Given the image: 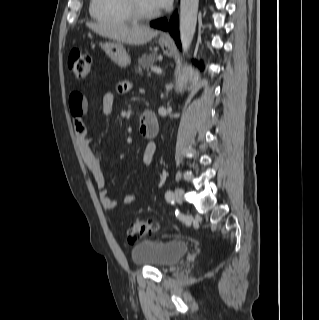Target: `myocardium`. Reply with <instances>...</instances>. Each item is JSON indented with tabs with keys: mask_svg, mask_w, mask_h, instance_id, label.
<instances>
[{
	"mask_svg": "<svg viewBox=\"0 0 319 320\" xmlns=\"http://www.w3.org/2000/svg\"><path fill=\"white\" fill-rule=\"evenodd\" d=\"M124 3L127 11L135 21H147L160 15V12L158 10L152 12L143 11L140 8L137 0H124Z\"/></svg>",
	"mask_w": 319,
	"mask_h": 320,
	"instance_id": "myocardium-1",
	"label": "myocardium"
}]
</instances>
